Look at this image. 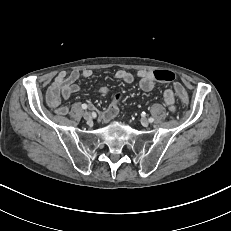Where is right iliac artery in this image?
I'll return each instance as SVG.
<instances>
[{
  "mask_svg": "<svg viewBox=\"0 0 231 231\" xmlns=\"http://www.w3.org/2000/svg\"><path fill=\"white\" fill-rule=\"evenodd\" d=\"M87 107H88L87 104H82L83 109H87Z\"/></svg>",
  "mask_w": 231,
  "mask_h": 231,
  "instance_id": "82829eb1",
  "label": "right iliac artery"
}]
</instances>
